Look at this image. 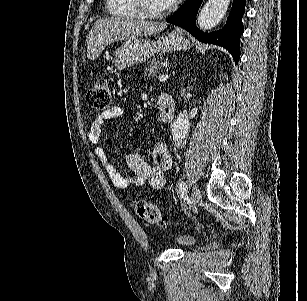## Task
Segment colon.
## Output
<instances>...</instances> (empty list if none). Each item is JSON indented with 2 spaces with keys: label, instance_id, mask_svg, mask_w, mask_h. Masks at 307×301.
<instances>
[{
  "label": "colon",
  "instance_id": "colon-1",
  "mask_svg": "<svg viewBox=\"0 0 307 301\" xmlns=\"http://www.w3.org/2000/svg\"><path fill=\"white\" fill-rule=\"evenodd\" d=\"M87 104L97 111L106 110L111 102V94L108 83L103 79L95 81L86 94ZM136 214L149 224L164 226L167 224L166 218L153 203L146 200H136L134 203Z\"/></svg>",
  "mask_w": 307,
  "mask_h": 301
}]
</instances>
